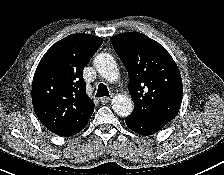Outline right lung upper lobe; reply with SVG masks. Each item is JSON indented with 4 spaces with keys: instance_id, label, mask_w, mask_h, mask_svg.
<instances>
[{
    "instance_id": "cb5924a9",
    "label": "right lung upper lobe",
    "mask_w": 224,
    "mask_h": 175,
    "mask_svg": "<svg viewBox=\"0 0 224 175\" xmlns=\"http://www.w3.org/2000/svg\"><path fill=\"white\" fill-rule=\"evenodd\" d=\"M103 40L72 34L51 46L35 71L32 103L41 123L55 134L88 120L94 103L86 94L82 71Z\"/></svg>"
}]
</instances>
